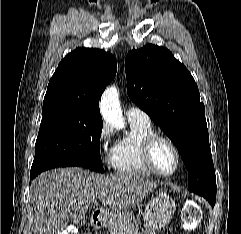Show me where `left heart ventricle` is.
Wrapping results in <instances>:
<instances>
[{"mask_svg": "<svg viewBox=\"0 0 241 234\" xmlns=\"http://www.w3.org/2000/svg\"><path fill=\"white\" fill-rule=\"evenodd\" d=\"M154 162L157 168L162 172H170L176 164V156L173 149L165 142H159L153 153Z\"/></svg>", "mask_w": 241, "mask_h": 234, "instance_id": "left-heart-ventricle-1", "label": "left heart ventricle"}]
</instances>
